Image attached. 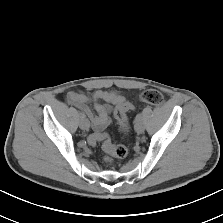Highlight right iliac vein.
<instances>
[{"label":"right iliac vein","instance_id":"63e3f726","mask_svg":"<svg viewBox=\"0 0 223 223\" xmlns=\"http://www.w3.org/2000/svg\"><path fill=\"white\" fill-rule=\"evenodd\" d=\"M90 127V123H89V120L87 118H81L80 120V128L82 130H88Z\"/></svg>","mask_w":223,"mask_h":223}]
</instances>
